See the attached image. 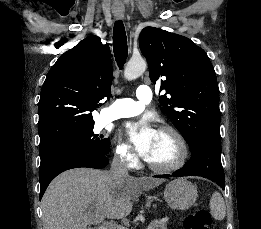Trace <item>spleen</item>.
I'll use <instances>...</instances> for the list:
<instances>
[{
    "instance_id": "spleen-1",
    "label": "spleen",
    "mask_w": 261,
    "mask_h": 229,
    "mask_svg": "<svg viewBox=\"0 0 261 229\" xmlns=\"http://www.w3.org/2000/svg\"><path fill=\"white\" fill-rule=\"evenodd\" d=\"M210 213L216 221H223L226 215V205L220 193H213L210 201Z\"/></svg>"
}]
</instances>
